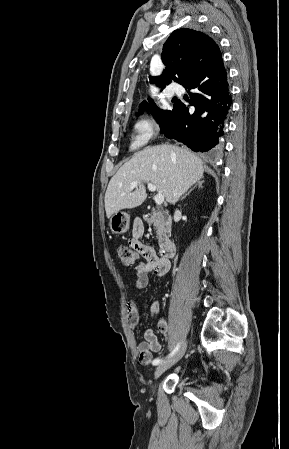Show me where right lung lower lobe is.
<instances>
[{
  "instance_id": "98d812e1",
  "label": "right lung lower lobe",
  "mask_w": 289,
  "mask_h": 449,
  "mask_svg": "<svg viewBox=\"0 0 289 449\" xmlns=\"http://www.w3.org/2000/svg\"><path fill=\"white\" fill-rule=\"evenodd\" d=\"M190 93L189 104L180 100L174 104L173 113L164 135L184 143L193 151L215 153L223 146L227 115L232 104L227 73L219 67L203 81L184 86ZM189 106H194L193 114Z\"/></svg>"
}]
</instances>
